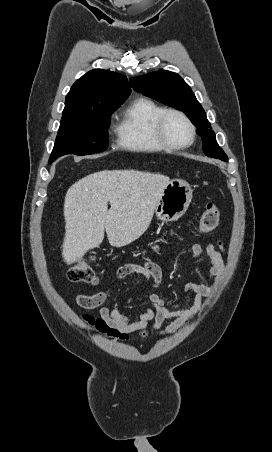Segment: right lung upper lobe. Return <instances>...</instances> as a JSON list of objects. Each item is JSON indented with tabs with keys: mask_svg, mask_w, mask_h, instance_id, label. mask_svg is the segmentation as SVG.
Segmentation results:
<instances>
[{
	"mask_svg": "<svg viewBox=\"0 0 272 452\" xmlns=\"http://www.w3.org/2000/svg\"><path fill=\"white\" fill-rule=\"evenodd\" d=\"M130 93L126 77L102 69L91 70L71 87L62 119L90 115L102 108L122 104Z\"/></svg>",
	"mask_w": 272,
	"mask_h": 452,
	"instance_id": "1",
	"label": "right lung upper lobe"
}]
</instances>
